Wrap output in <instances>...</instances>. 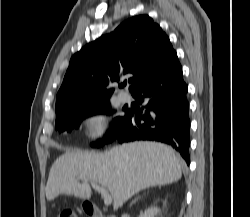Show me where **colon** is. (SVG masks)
<instances>
[{"label":"colon","mask_w":250,"mask_h":217,"mask_svg":"<svg viewBox=\"0 0 250 217\" xmlns=\"http://www.w3.org/2000/svg\"><path fill=\"white\" fill-rule=\"evenodd\" d=\"M57 217H77V215L71 210H60Z\"/></svg>","instance_id":"obj_1"}]
</instances>
